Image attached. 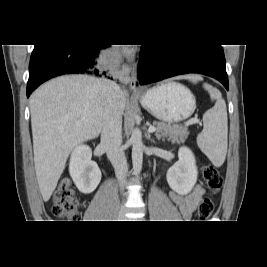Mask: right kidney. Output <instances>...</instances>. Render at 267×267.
Masks as SVG:
<instances>
[{
  "instance_id": "right-kidney-1",
  "label": "right kidney",
  "mask_w": 267,
  "mask_h": 267,
  "mask_svg": "<svg viewBox=\"0 0 267 267\" xmlns=\"http://www.w3.org/2000/svg\"><path fill=\"white\" fill-rule=\"evenodd\" d=\"M91 157V148L79 145L73 150L69 163L70 176L78 190L84 194L92 193L101 180V171Z\"/></svg>"
}]
</instances>
